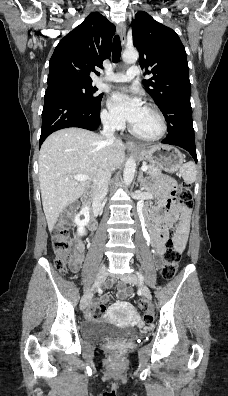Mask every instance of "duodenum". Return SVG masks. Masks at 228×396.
Returning <instances> with one entry per match:
<instances>
[{
    "label": "duodenum",
    "mask_w": 228,
    "mask_h": 396,
    "mask_svg": "<svg viewBox=\"0 0 228 396\" xmlns=\"http://www.w3.org/2000/svg\"><path fill=\"white\" fill-rule=\"evenodd\" d=\"M82 209L84 211V215L87 220V226L91 230H95L97 226V222L92 211V196L91 193L88 191L83 196ZM145 223L152 241L153 236L158 233L159 220L153 216H149V218L146 219Z\"/></svg>",
    "instance_id": "410a0bca"
}]
</instances>
